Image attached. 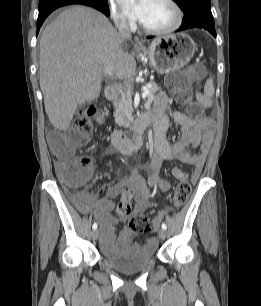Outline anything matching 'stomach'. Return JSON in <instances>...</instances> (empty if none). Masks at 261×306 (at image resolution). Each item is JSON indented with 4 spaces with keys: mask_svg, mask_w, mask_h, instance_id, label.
<instances>
[{
    "mask_svg": "<svg viewBox=\"0 0 261 306\" xmlns=\"http://www.w3.org/2000/svg\"><path fill=\"white\" fill-rule=\"evenodd\" d=\"M140 50L158 73L166 74L187 65L194 56L196 44L186 33H177L158 37Z\"/></svg>",
    "mask_w": 261,
    "mask_h": 306,
    "instance_id": "obj_1",
    "label": "stomach"
}]
</instances>
